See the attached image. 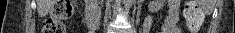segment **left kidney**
I'll use <instances>...</instances> for the list:
<instances>
[{"label": "left kidney", "mask_w": 235, "mask_h": 33, "mask_svg": "<svg viewBox=\"0 0 235 33\" xmlns=\"http://www.w3.org/2000/svg\"><path fill=\"white\" fill-rule=\"evenodd\" d=\"M164 2L165 0H151L148 5L149 12L154 13L161 10L164 6Z\"/></svg>", "instance_id": "left-kidney-1"}]
</instances>
